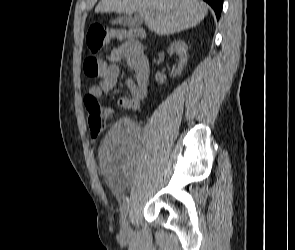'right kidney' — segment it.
<instances>
[{
    "instance_id": "1",
    "label": "right kidney",
    "mask_w": 295,
    "mask_h": 250,
    "mask_svg": "<svg viewBox=\"0 0 295 250\" xmlns=\"http://www.w3.org/2000/svg\"><path fill=\"white\" fill-rule=\"evenodd\" d=\"M187 50H188V46L182 40L174 41L173 43L170 44L168 48V53L170 55L176 54L179 56L178 68L174 76L181 73V71L184 69L185 65L187 64V60H188ZM155 79L158 83L163 84L166 81V76L160 72H157L155 75Z\"/></svg>"
}]
</instances>
